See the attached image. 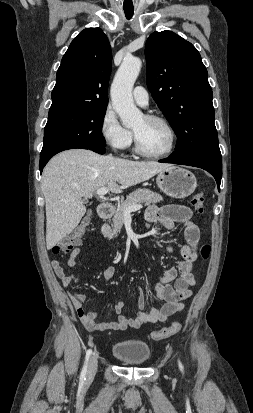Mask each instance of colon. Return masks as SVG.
<instances>
[{
  "label": "colon",
  "mask_w": 253,
  "mask_h": 413,
  "mask_svg": "<svg viewBox=\"0 0 253 413\" xmlns=\"http://www.w3.org/2000/svg\"><path fill=\"white\" fill-rule=\"evenodd\" d=\"M191 205L196 213H202L205 205V198L203 194H195L191 199ZM89 221L90 217L88 215L85 216L74 230L67 234L56 246L53 247L52 252L54 254H58L60 252L66 253L69 252L74 246L79 245L85 234ZM210 250L211 249L208 244H203L200 247L199 254L203 259H207L210 255ZM181 328L182 324L180 322H174L168 327L152 332L150 337L154 341L166 339L178 333Z\"/></svg>",
  "instance_id": "colon-1"
}]
</instances>
